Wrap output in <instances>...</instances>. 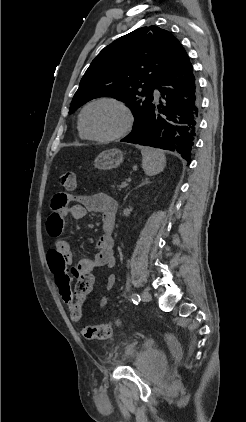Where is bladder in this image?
<instances>
[{"label":"bladder","mask_w":246,"mask_h":422,"mask_svg":"<svg viewBox=\"0 0 246 422\" xmlns=\"http://www.w3.org/2000/svg\"><path fill=\"white\" fill-rule=\"evenodd\" d=\"M140 353L136 346L128 344L123 347L121 358L125 363H135L139 359ZM147 359L150 364L157 369L164 367L166 359L162 352L158 350H152L147 354Z\"/></svg>","instance_id":"obj_1"}]
</instances>
